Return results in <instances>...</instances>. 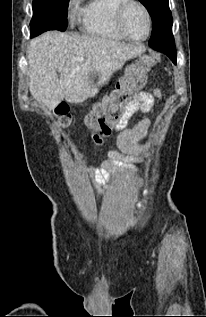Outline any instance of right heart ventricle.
<instances>
[{"mask_svg":"<svg viewBox=\"0 0 206 317\" xmlns=\"http://www.w3.org/2000/svg\"><path fill=\"white\" fill-rule=\"evenodd\" d=\"M123 0H88L79 10L84 32L90 35L121 41L124 37L117 31L114 14Z\"/></svg>","mask_w":206,"mask_h":317,"instance_id":"1","label":"right heart ventricle"}]
</instances>
